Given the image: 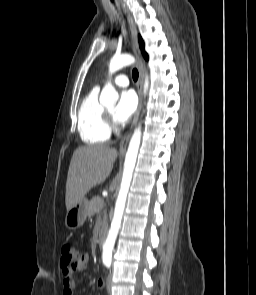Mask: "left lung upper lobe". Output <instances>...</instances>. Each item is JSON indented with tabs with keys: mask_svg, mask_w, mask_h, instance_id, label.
<instances>
[{
	"mask_svg": "<svg viewBox=\"0 0 256 295\" xmlns=\"http://www.w3.org/2000/svg\"><path fill=\"white\" fill-rule=\"evenodd\" d=\"M139 44H140V48L142 50L143 56L145 59H148V55L146 54V52L144 51V43L142 38L139 36Z\"/></svg>",
	"mask_w": 256,
	"mask_h": 295,
	"instance_id": "obj_1",
	"label": "left lung upper lobe"
}]
</instances>
